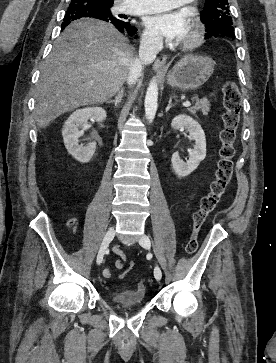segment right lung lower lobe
Returning <instances> with one entry per match:
<instances>
[{
    "label": "right lung lower lobe",
    "instance_id": "obj_1",
    "mask_svg": "<svg viewBox=\"0 0 276 363\" xmlns=\"http://www.w3.org/2000/svg\"><path fill=\"white\" fill-rule=\"evenodd\" d=\"M84 17H90V18H96L100 20H104L106 22L111 21L113 24H115L116 28L121 33H128L130 36H133L137 32V28L132 27L129 22L121 21L117 22L115 20H108V19H102L97 13L87 10V9H75L73 11H67L64 17V22L62 23L61 30H63L71 21H74L76 19L84 18Z\"/></svg>",
    "mask_w": 276,
    "mask_h": 363
}]
</instances>
